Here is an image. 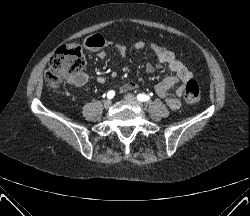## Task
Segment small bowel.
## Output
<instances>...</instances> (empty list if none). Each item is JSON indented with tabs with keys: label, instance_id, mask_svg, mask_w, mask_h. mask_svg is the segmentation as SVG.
Here are the masks:
<instances>
[{
	"label": "small bowel",
	"instance_id": "obj_1",
	"mask_svg": "<svg viewBox=\"0 0 250 216\" xmlns=\"http://www.w3.org/2000/svg\"><path fill=\"white\" fill-rule=\"evenodd\" d=\"M84 45L89 50L98 51V57L103 59L106 56V49L110 47L112 43L104 39L101 35L95 34L88 37L85 40ZM135 47L137 49H142L145 47V43L142 41L137 42ZM151 48L155 55V59L153 62L147 65V71L153 72L161 66L167 65L170 72L169 76L164 81L156 85L155 92L159 97L166 101L167 105L172 110H177L181 106L179 98L184 94L188 81L192 79V73L183 65L176 54L172 51H169L157 44H153ZM116 49L121 56H124L127 52L124 45H117ZM108 79L109 76L106 74L100 75L98 77V81L101 83L106 82ZM87 81L88 75L85 72H78L69 79V82L77 87L85 85ZM174 87L175 97H171L169 96V91ZM135 88V83L128 82L122 86L121 90L128 91Z\"/></svg>",
	"mask_w": 250,
	"mask_h": 216
}]
</instances>
